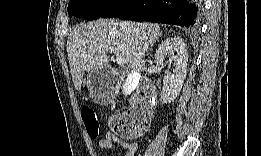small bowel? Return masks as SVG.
I'll use <instances>...</instances> for the list:
<instances>
[{
    "label": "small bowel",
    "mask_w": 261,
    "mask_h": 156,
    "mask_svg": "<svg viewBox=\"0 0 261 156\" xmlns=\"http://www.w3.org/2000/svg\"><path fill=\"white\" fill-rule=\"evenodd\" d=\"M99 147L102 149L110 150L114 147H120L125 151V155L133 156L137 151L136 143H126L117 135L108 132L105 137L101 138L98 142Z\"/></svg>",
    "instance_id": "obj_1"
}]
</instances>
